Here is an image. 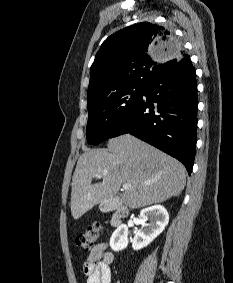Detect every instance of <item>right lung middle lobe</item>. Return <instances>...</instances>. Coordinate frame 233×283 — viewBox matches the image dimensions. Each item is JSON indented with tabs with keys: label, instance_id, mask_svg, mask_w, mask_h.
Here are the masks:
<instances>
[{
	"label": "right lung middle lobe",
	"instance_id": "obj_1",
	"mask_svg": "<svg viewBox=\"0 0 233 283\" xmlns=\"http://www.w3.org/2000/svg\"><path fill=\"white\" fill-rule=\"evenodd\" d=\"M145 86H130L110 93L88 106L87 140L99 144L111 137L115 128L141 99Z\"/></svg>",
	"mask_w": 233,
	"mask_h": 283
}]
</instances>
